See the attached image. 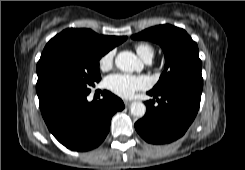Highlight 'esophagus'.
I'll return each mask as SVG.
<instances>
[{
  "mask_svg": "<svg viewBox=\"0 0 245 170\" xmlns=\"http://www.w3.org/2000/svg\"><path fill=\"white\" fill-rule=\"evenodd\" d=\"M130 103H131V101H129V100H124L125 106H128Z\"/></svg>",
  "mask_w": 245,
  "mask_h": 170,
  "instance_id": "obj_1",
  "label": "esophagus"
}]
</instances>
